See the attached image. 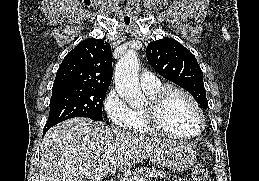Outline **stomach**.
Returning <instances> with one entry per match:
<instances>
[{"label":"stomach","instance_id":"1","mask_svg":"<svg viewBox=\"0 0 259 181\" xmlns=\"http://www.w3.org/2000/svg\"><path fill=\"white\" fill-rule=\"evenodd\" d=\"M156 160L160 166L180 172L193 166L197 158L193 149L183 143L173 142L157 153Z\"/></svg>","mask_w":259,"mask_h":181}]
</instances>
